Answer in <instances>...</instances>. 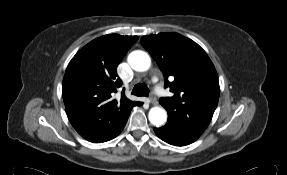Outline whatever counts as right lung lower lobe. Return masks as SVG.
Listing matches in <instances>:
<instances>
[{"mask_svg": "<svg viewBox=\"0 0 287 175\" xmlns=\"http://www.w3.org/2000/svg\"><path fill=\"white\" fill-rule=\"evenodd\" d=\"M127 119L115 130V132L112 135H110L107 139L103 140L102 142H105V141H108V140L115 138L123 130V128L127 122Z\"/></svg>", "mask_w": 287, "mask_h": 175, "instance_id": "1", "label": "right lung lower lobe"}]
</instances>
